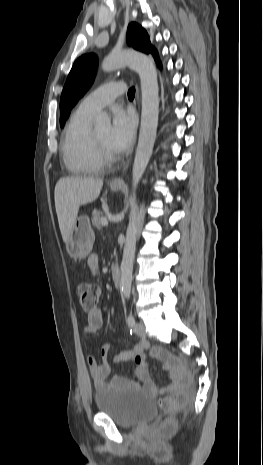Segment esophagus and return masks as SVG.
Instances as JSON below:
<instances>
[{
	"mask_svg": "<svg viewBox=\"0 0 263 465\" xmlns=\"http://www.w3.org/2000/svg\"><path fill=\"white\" fill-rule=\"evenodd\" d=\"M129 163L126 165L125 169H127ZM122 182V178L121 177H117V178H114L112 181H111V184H120Z\"/></svg>",
	"mask_w": 263,
	"mask_h": 465,
	"instance_id": "obj_1",
	"label": "esophagus"
}]
</instances>
